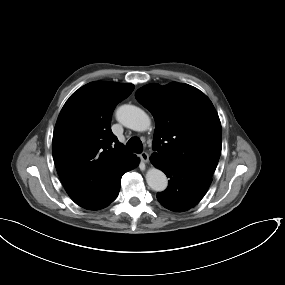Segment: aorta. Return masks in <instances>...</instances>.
<instances>
[{
  "label": "aorta",
  "instance_id": "aorta-1",
  "mask_svg": "<svg viewBox=\"0 0 285 285\" xmlns=\"http://www.w3.org/2000/svg\"><path fill=\"white\" fill-rule=\"evenodd\" d=\"M116 118L123 126L138 132L146 131L151 124L149 116L134 105L120 106ZM145 177L149 187L156 192L164 191L168 186L166 175L157 168H150Z\"/></svg>",
  "mask_w": 285,
  "mask_h": 285
}]
</instances>
